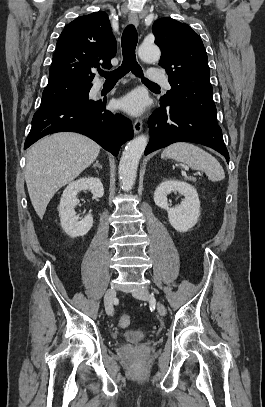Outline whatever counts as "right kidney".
<instances>
[{"label":"right kidney","mask_w":265,"mask_h":407,"mask_svg":"<svg viewBox=\"0 0 265 407\" xmlns=\"http://www.w3.org/2000/svg\"><path fill=\"white\" fill-rule=\"evenodd\" d=\"M82 190H90L93 196L98 198L104 195L102 182L96 177L80 178L66 187L58 210L61 227L72 238L86 235L93 226L91 214L79 218L74 210V207L79 203L77 194Z\"/></svg>","instance_id":"right-kidney-1"}]
</instances>
